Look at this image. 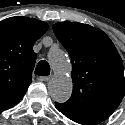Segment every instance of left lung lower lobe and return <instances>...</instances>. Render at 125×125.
Returning <instances> with one entry per match:
<instances>
[{"label": "left lung lower lobe", "instance_id": "left-lung-lower-lobe-1", "mask_svg": "<svg viewBox=\"0 0 125 125\" xmlns=\"http://www.w3.org/2000/svg\"><path fill=\"white\" fill-rule=\"evenodd\" d=\"M56 108L64 114L67 118L71 119L74 122L83 125H96L107 119L112 112L104 111L97 113H75V112H67L63 111L59 104L55 103Z\"/></svg>", "mask_w": 125, "mask_h": 125}]
</instances>
